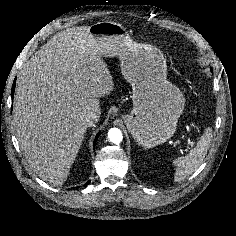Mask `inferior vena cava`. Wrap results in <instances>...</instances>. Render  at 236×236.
<instances>
[{
	"label": "inferior vena cava",
	"mask_w": 236,
	"mask_h": 236,
	"mask_svg": "<svg viewBox=\"0 0 236 236\" xmlns=\"http://www.w3.org/2000/svg\"><path fill=\"white\" fill-rule=\"evenodd\" d=\"M100 115L94 111H89L83 115L82 121L85 127H90L99 121Z\"/></svg>",
	"instance_id": "602c4592"
}]
</instances>
